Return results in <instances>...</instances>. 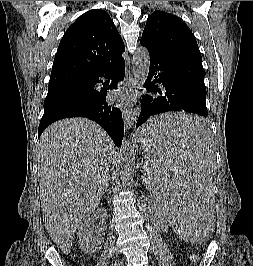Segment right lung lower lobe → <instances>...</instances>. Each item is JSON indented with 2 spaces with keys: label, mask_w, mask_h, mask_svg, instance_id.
<instances>
[{
  "label": "right lung lower lobe",
  "mask_w": 253,
  "mask_h": 266,
  "mask_svg": "<svg viewBox=\"0 0 253 266\" xmlns=\"http://www.w3.org/2000/svg\"><path fill=\"white\" fill-rule=\"evenodd\" d=\"M125 75V61L120 60L103 73L86 80L89 88L83 92L68 109L62 110L59 113L50 116L49 118L42 117L38 128V134L42 132L51 123L69 117H85L98 123L106 130L112 138L114 144L120 147L124 135V123L120 109L111 107L106 102V90H96L95 84L100 82L99 77L112 78L110 88L116 89L117 82L122 80Z\"/></svg>",
  "instance_id": "1"
}]
</instances>
